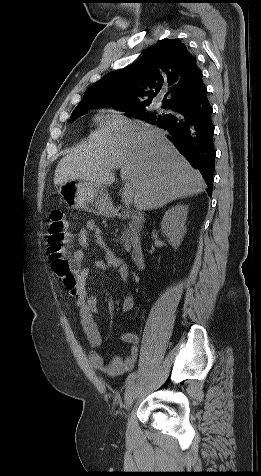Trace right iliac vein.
Here are the masks:
<instances>
[{
    "label": "right iliac vein",
    "instance_id": "63e3f726",
    "mask_svg": "<svg viewBox=\"0 0 261 476\" xmlns=\"http://www.w3.org/2000/svg\"><path fill=\"white\" fill-rule=\"evenodd\" d=\"M135 393H136V383L132 382L126 389L125 391V407L126 409H129L134 401L135 398Z\"/></svg>",
    "mask_w": 261,
    "mask_h": 476
}]
</instances>
